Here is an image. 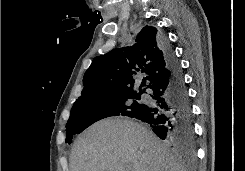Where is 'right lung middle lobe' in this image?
<instances>
[{"mask_svg": "<svg viewBox=\"0 0 245 171\" xmlns=\"http://www.w3.org/2000/svg\"><path fill=\"white\" fill-rule=\"evenodd\" d=\"M139 99L140 94H121L97 100L76 101L66 126V142L70 144L74 135L103 118L134 116L142 105L137 101Z\"/></svg>", "mask_w": 245, "mask_h": 171, "instance_id": "right-lung-middle-lobe-1", "label": "right lung middle lobe"}]
</instances>
